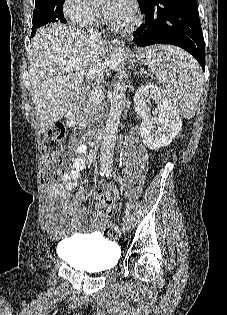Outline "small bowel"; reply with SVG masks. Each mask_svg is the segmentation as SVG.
I'll list each match as a JSON object with an SVG mask.
<instances>
[{
    "label": "small bowel",
    "instance_id": "1",
    "mask_svg": "<svg viewBox=\"0 0 227 315\" xmlns=\"http://www.w3.org/2000/svg\"><path fill=\"white\" fill-rule=\"evenodd\" d=\"M73 153L74 160L71 170L64 174L58 182L46 188V223L55 232L59 231L61 224L67 218H70L73 223L78 224L82 215L91 214L94 216L92 212L81 206L85 197L81 194L73 193L76 186V179L86 167L87 147L83 144L78 145ZM102 186L106 185L102 184ZM111 199L113 208V202L117 199V195L112 193ZM57 205L58 208L56 207ZM99 225L101 226L100 223Z\"/></svg>",
    "mask_w": 227,
    "mask_h": 315
}]
</instances>
